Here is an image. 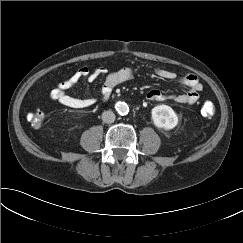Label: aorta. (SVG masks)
Masks as SVG:
<instances>
[{"label":"aorta","instance_id":"aorta-1","mask_svg":"<svg viewBox=\"0 0 243 243\" xmlns=\"http://www.w3.org/2000/svg\"><path fill=\"white\" fill-rule=\"evenodd\" d=\"M116 111L119 115H126L129 112V106L125 102H119L116 105Z\"/></svg>","mask_w":243,"mask_h":243}]
</instances>
